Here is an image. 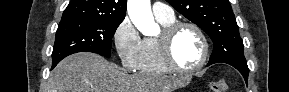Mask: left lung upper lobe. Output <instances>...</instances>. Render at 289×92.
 Masks as SVG:
<instances>
[{
  "label": "left lung upper lobe",
  "instance_id": "left-lung-upper-lobe-1",
  "mask_svg": "<svg viewBox=\"0 0 289 92\" xmlns=\"http://www.w3.org/2000/svg\"><path fill=\"white\" fill-rule=\"evenodd\" d=\"M179 13L205 31L214 43L208 64H247L244 45L228 0H166Z\"/></svg>",
  "mask_w": 289,
  "mask_h": 92
}]
</instances>
